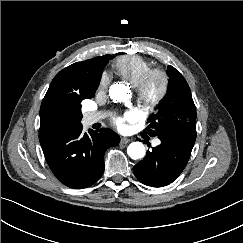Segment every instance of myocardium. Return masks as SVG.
<instances>
[{
    "mask_svg": "<svg viewBox=\"0 0 243 243\" xmlns=\"http://www.w3.org/2000/svg\"><path fill=\"white\" fill-rule=\"evenodd\" d=\"M159 79L160 85L153 91V82ZM170 85L168 73L162 68H151L134 87L138 106L148 113L153 111L166 97Z\"/></svg>",
    "mask_w": 243,
    "mask_h": 243,
    "instance_id": "myocardium-1",
    "label": "myocardium"
}]
</instances>
